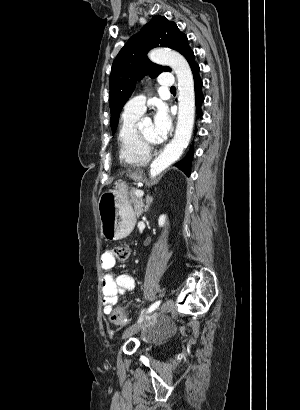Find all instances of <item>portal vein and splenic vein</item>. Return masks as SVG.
I'll use <instances>...</instances> for the list:
<instances>
[{
	"mask_svg": "<svg viewBox=\"0 0 300 410\" xmlns=\"http://www.w3.org/2000/svg\"><path fill=\"white\" fill-rule=\"evenodd\" d=\"M134 194H135V196H137V197H142V196L144 195V192H143L142 190H136V191L134 192Z\"/></svg>",
	"mask_w": 300,
	"mask_h": 410,
	"instance_id": "portal-vein-and-splenic-vein-1",
	"label": "portal vein and splenic vein"
}]
</instances>
